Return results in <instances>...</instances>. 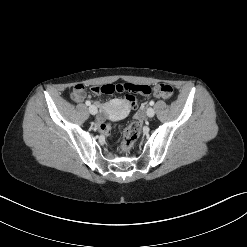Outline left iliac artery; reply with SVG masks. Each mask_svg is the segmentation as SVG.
<instances>
[{
	"instance_id": "1",
	"label": "left iliac artery",
	"mask_w": 247,
	"mask_h": 247,
	"mask_svg": "<svg viewBox=\"0 0 247 247\" xmlns=\"http://www.w3.org/2000/svg\"><path fill=\"white\" fill-rule=\"evenodd\" d=\"M151 106H153L154 105V101H150V103H149Z\"/></svg>"
}]
</instances>
